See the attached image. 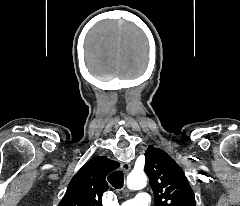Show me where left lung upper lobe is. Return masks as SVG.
I'll use <instances>...</instances> for the list:
<instances>
[{"label":"left lung upper lobe","instance_id":"left-lung-upper-lobe-1","mask_svg":"<svg viewBox=\"0 0 240 206\" xmlns=\"http://www.w3.org/2000/svg\"><path fill=\"white\" fill-rule=\"evenodd\" d=\"M144 171L156 206H195V196L179 165L163 150L149 146Z\"/></svg>","mask_w":240,"mask_h":206}]
</instances>
